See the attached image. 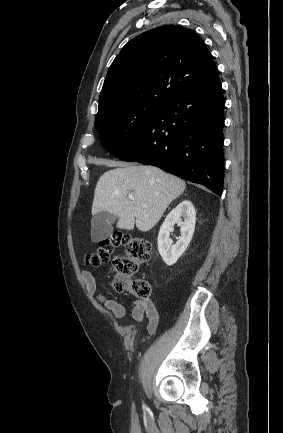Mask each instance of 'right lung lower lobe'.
Segmentation results:
<instances>
[{"label":"right lung lower lobe","instance_id":"right-lung-lower-lobe-1","mask_svg":"<svg viewBox=\"0 0 283 433\" xmlns=\"http://www.w3.org/2000/svg\"><path fill=\"white\" fill-rule=\"evenodd\" d=\"M224 97L219 77L167 102L133 142L114 155L157 166L221 195Z\"/></svg>","mask_w":283,"mask_h":433}]
</instances>
